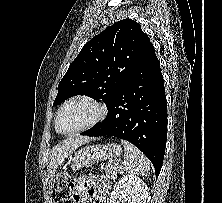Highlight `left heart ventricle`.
<instances>
[{"mask_svg": "<svg viewBox=\"0 0 222 203\" xmlns=\"http://www.w3.org/2000/svg\"><path fill=\"white\" fill-rule=\"evenodd\" d=\"M97 115V109L85 101L69 104L61 113L59 127L65 132L76 130L90 123Z\"/></svg>", "mask_w": 222, "mask_h": 203, "instance_id": "left-heart-ventricle-1", "label": "left heart ventricle"}]
</instances>
